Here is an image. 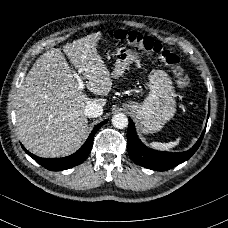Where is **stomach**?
<instances>
[{
    "mask_svg": "<svg viewBox=\"0 0 228 228\" xmlns=\"http://www.w3.org/2000/svg\"><path fill=\"white\" fill-rule=\"evenodd\" d=\"M111 77L118 79L132 63H140V55L127 48H118ZM150 92L143 103L129 101L122 107L138 121L141 133L159 132L176 113L175 92L171 78L164 71L156 70L149 75Z\"/></svg>",
    "mask_w": 228,
    "mask_h": 228,
    "instance_id": "0dacf381",
    "label": "stomach"
}]
</instances>
